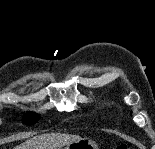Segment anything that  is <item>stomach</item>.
I'll return each mask as SVG.
<instances>
[{
    "mask_svg": "<svg viewBox=\"0 0 155 149\" xmlns=\"http://www.w3.org/2000/svg\"><path fill=\"white\" fill-rule=\"evenodd\" d=\"M63 149H98L96 143L89 139H80L65 145Z\"/></svg>",
    "mask_w": 155,
    "mask_h": 149,
    "instance_id": "1",
    "label": "stomach"
}]
</instances>
